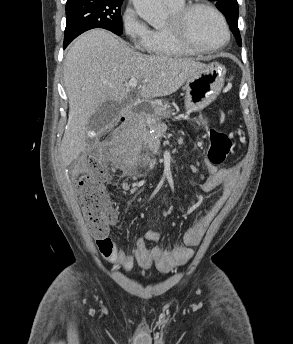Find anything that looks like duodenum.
I'll use <instances>...</instances> for the list:
<instances>
[{
	"label": "duodenum",
	"instance_id": "duodenum-1",
	"mask_svg": "<svg viewBox=\"0 0 293 344\" xmlns=\"http://www.w3.org/2000/svg\"><path fill=\"white\" fill-rule=\"evenodd\" d=\"M129 120H130L129 113H125L124 115H122L119 122H120V124H124L125 122H127Z\"/></svg>",
	"mask_w": 293,
	"mask_h": 344
}]
</instances>
